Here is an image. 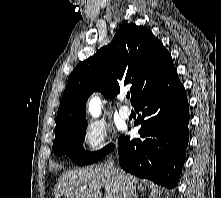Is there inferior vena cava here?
Masks as SVG:
<instances>
[{"label":"inferior vena cava","instance_id":"1","mask_svg":"<svg viewBox=\"0 0 221 198\" xmlns=\"http://www.w3.org/2000/svg\"><path fill=\"white\" fill-rule=\"evenodd\" d=\"M113 165H114V160L111 158L105 164V166L107 168H109L115 172V174L121 184V188L123 191V197L124 198H137L135 189H134L133 185L131 184V182L129 181V179L122 172L115 169Z\"/></svg>","mask_w":221,"mask_h":198}]
</instances>
